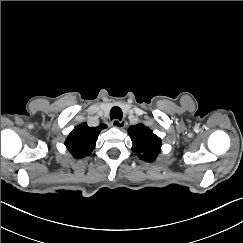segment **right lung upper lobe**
Returning <instances> with one entry per match:
<instances>
[{
    "mask_svg": "<svg viewBox=\"0 0 243 243\" xmlns=\"http://www.w3.org/2000/svg\"><path fill=\"white\" fill-rule=\"evenodd\" d=\"M104 128H106L104 124H100L98 127H89L87 123H82L68 135L65 146L77 159L88 156L95 148L98 135Z\"/></svg>",
    "mask_w": 243,
    "mask_h": 243,
    "instance_id": "right-lung-upper-lobe-1",
    "label": "right lung upper lobe"
}]
</instances>
